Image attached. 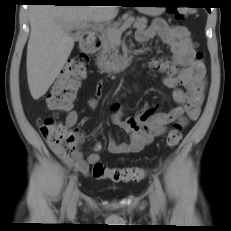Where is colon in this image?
<instances>
[{
    "label": "colon",
    "instance_id": "1",
    "mask_svg": "<svg viewBox=\"0 0 231 231\" xmlns=\"http://www.w3.org/2000/svg\"><path fill=\"white\" fill-rule=\"evenodd\" d=\"M173 14L176 20L183 21L188 12L185 8H176ZM196 58L200 60L202 54L197 53ZM87 68L88 59L84 55L75 56L67 61L47 96V105L51 110L66 112L71 108L79 83L86 76ZM39 130L46 140L63 148L76 145L81 135L79 130H71L65 125L57 123L53 117L42 119ZM181 139V125L174 124L167 135V145L175 147L181 142ZM92 176L95 179H110L113 182H137L146 177V171L140 167L109 168L98 161L93 164Z\"/></svg>",
    "mask_w": 231,
    "mask_h": 231
}]
</instances>
